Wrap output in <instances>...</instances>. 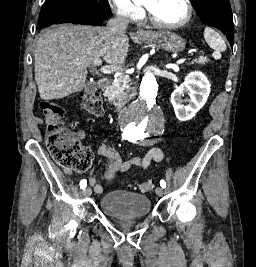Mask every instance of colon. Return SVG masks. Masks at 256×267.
<instances>
[{
	"label": "colon",
	"mask_w": 256,
	"mask_h": 267,
	"mask_svg": "<svg viewBox=\"0 0 256 267\" xmlns=\"http://www.w3.org/2000/svg\"><path fill=\"white\" fill-rule=\"evenodd\" d=\"M81 108L88 114L98 115L102 111V101L99 97L83 94L80 101ZM41 110L47 115V147L53 159L66 167L85 170L91 163L92 153L88 147L75 142L73 133L66 130L61 117L63 107L54 101L41 102ZM135 189L141 192L155 190L154 182H141Z\"/></svg>",
	"instance_id": "1"
}]
</instances>
